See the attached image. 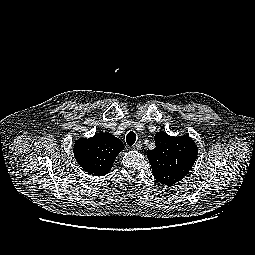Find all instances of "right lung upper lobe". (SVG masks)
<instances>
[{
    "instance_id": "right-lung-upper-lobe-1",
    "label": "right lung upper lobe",
    "mask_w": 255,
    "mask_h": 255,
    "mask_svg": "<svg viewBox=\"0 0 255 255\" xmlns=\"http://www.w3.org/2000/svg\"><path fill=\"white\" fill-rule=\"evenodd\" d=\"M124 149L120 139L108 132L75 141L73 152L78 164L91 175L109 173L117 155Z\"/></svg>"
}]
</instances>
